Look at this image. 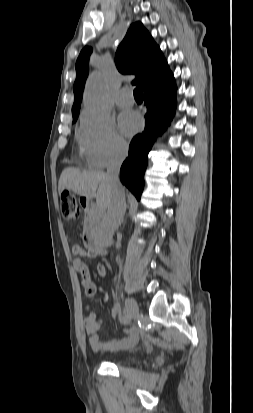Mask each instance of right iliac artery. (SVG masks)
<instances>
[{"instance_id": "82829eb1", "label": "right iliac artery", "mask_w": 253, "mask_h": 413, "mask_svg": "<svg viewBox=\"0 0 253 413\" xmlns=\"http://www.w3.org/2000/svg\"><path fill=\"white\" fill-rule=\"evenodd\" d=\"M122 320L126 323L129 321V318L125 315V313H123Z\"/></svg>"}]
</instances>
